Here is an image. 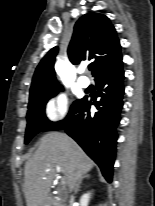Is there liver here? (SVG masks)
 I'll return each instance as SVG.
<instances>
[{
    "label": "liver",
    "instance_id": "obj_1",
    "mask_svg": "<svg viewBox=\"0 0 155 206\" xmlns=\"http://www.w3.org/2000/svg\"><path fill=\"white\" fill-rule=\"evenodd\" d=\"M93 165V161L69 136L60 132L47 133L25 164L27 206H41L45 202L57 171L64 174L66 185L72 190Z\"/></svg>",
    "mask_w": 155,
    "mask_h": 206
}]
</instances>
